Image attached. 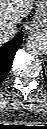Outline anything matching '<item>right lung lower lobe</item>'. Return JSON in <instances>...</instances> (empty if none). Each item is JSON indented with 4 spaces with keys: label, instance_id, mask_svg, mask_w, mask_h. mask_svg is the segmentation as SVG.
<instances>
[{
    "label": "right lung lower lobe",
    "instance_id": "obj_1",
    "mask_svg": "<svg viewBox=\"0 0 47 129\" xmlns=\"http://www.w3.org/2000/svg\"><path fill=\"white\" fill-rule=\"evenodd\" d=\"M22 39L23 34L19 33L11 41L0 47V84L9 72L16 51L22 43Z\"/></svg>",
    "mask_w": 47,
    "mask_h": 129
}]
</instances>
